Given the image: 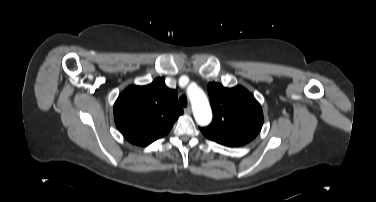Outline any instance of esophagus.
I'll return each instance as SVG.
<instances>
[{"mask_svg":"<svg viewBox=\"0 0 376 202\" xmlns=\"http://www.w3.org/2000/svg\"><path fill=\"white\" fill-rule=\"evenodd\" d=\"M191 107H187L184 109L185 114H191Z\"/></svg>","mask_w":376,"mask_h":202,"instance_id":"obj_1","label":"esophagus"}]
</instances>
